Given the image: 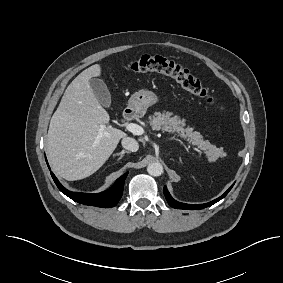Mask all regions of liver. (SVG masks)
I'll return each mask as SVG.
<instances>
[{"label": "liver", "instance_id": "1", "mask_svg": "<svg viewBox=\"0 0 283 283\" xmlns=\"http://www.w3.org/2000/svg\"><path fill=\"white\" fill-rule=\"evenodd\" d=\"M100 74V64L81 72L65 90L50 120L48 159L53 171L66 180H80L95 173L120 139L127 136L109 124L108 112L93 93L90 79Z\"/></svg>", "mask_w": 283, "mask_h": 283}]
</instances>
